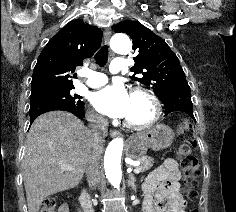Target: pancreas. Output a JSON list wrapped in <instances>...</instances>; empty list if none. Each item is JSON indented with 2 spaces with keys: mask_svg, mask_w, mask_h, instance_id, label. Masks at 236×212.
<instances>
[{
  "mask_svg": "<svg viewBox=\"0 0 236 212\" xmlns=\"http://www.w3.org/2000/svg\"><path fill=\"white\" fill-rule=\"evenodd\" d=\"M138 161L140 162L139 168L141 169V171H146L153 165V159L145 155L140 156L138 158Z\"/></svg>",
  "mask_w": 236,
  "mask_h": 212,
  "instance_id": "cf45deb5",
  "label": "pancreas"
}]
</instances>
